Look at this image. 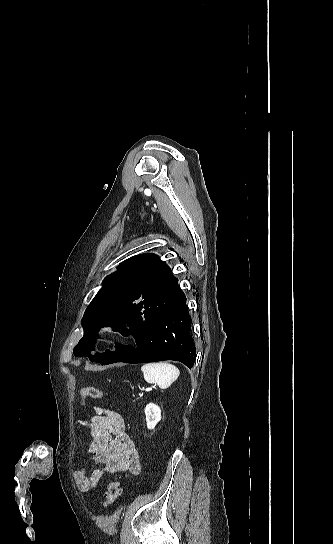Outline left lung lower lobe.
Returning <instances> with one entry per match:
<instances>
[{
  "instance_id": "1",
  "label": "left lung lower lobe",
  "mask_w": 333,
  "mask_h": 544,
  "mask_svg": "<svg viewBox=\"0 0 333 544\" xmlns=\"http://www.w3.org/2000/svg\"><path fill=\"white\" fill-rule=\"evenodd\" d=\"M129 332L135 342L123 348L121 354H100L101 365L115 362L142 363L175 360L191 368L196 360L192 337V319L183 295L156 319L135 324ZM93 338L95 335L93 334Z\"/></svg>"
}]
</instances>
